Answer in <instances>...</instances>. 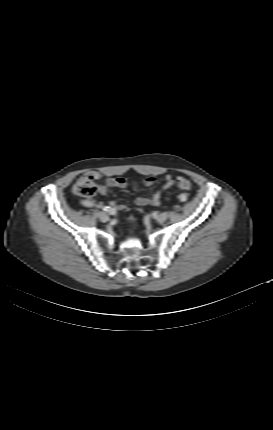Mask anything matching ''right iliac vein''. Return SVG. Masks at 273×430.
<instances>
[{
  "label": "right iliac vein",
  "instance_id": "1",
  "mask_svg": "<svg viewBox=\"0 0 273 430\" xmlns=\"http://www.w3.org/2000/svg\"><path fill=\"white\" fill-rule=\"evenodd\" d=\"M98 217L102 222H106L109 219V216L105 212H98Z\"/></svg>",
  "mask_w": 273,
  "mask_h": 430
}]
</instances>
